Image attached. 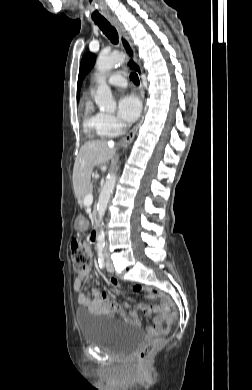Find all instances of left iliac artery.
<instances>
[{"mask_svg": "<svg viewBox=\"0 0 252 390\" xmlns=\"http://www.w3.org/2000/svg\"><path fill=\"white\" fill-rule=\"evenodd\" d=\"M105 244L104 243H98V263L100 268H104L105 262H104V255H103V249Z\"/></svg>", "mask_w": 252, "mask_h": 390, "instance_id": "obj_1", "label": "left iliac artery"}]
</instances>
